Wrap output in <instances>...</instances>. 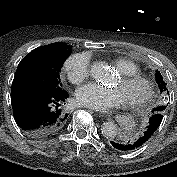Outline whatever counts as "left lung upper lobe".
<instances>
[{
    "label": "left lung upper lobe",
    "mask_w": 177,
    "mask_h": 177,
    "mask_svg": "<svg viewBox=\"0 0 177 177\" xmlns=\"http://www.w3.org/2000/svg\"><path fill=\"white\" fill-rule=\"evenodd\" d=\"M155 76H156V80H157L158 85H159L160 93H161L163 96H165L166 94L169 95L168 89H167V87H166V86H167V83H165V81L163 80V77L161 76L160 72L157 71L156 74H155ZM165 108H166L165 106H163V107L161 108V113H162V111H163Z\"/></svg>",
    "instance_id": "left-lung-upper-lobe-1"
}]
</instances>
